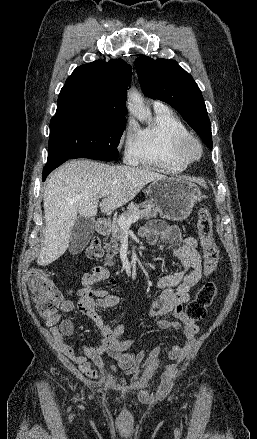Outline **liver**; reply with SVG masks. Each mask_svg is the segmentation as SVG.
Listing matches in <instances>:
<instances>
[{"label":"liver","instance_id":"1","mask_svg":"<svg viewBox=\"0 0 257 439\" xmlns=\"http://www.w3.org/2000/svg\"><path fill=\"white\" fill-rule=\"evenodd\" d=\"M164 177L149 168L86 159L60 166L50 176L43 196L46 227L38 265L47 266L65 253L77 215L94 217L102 191L109 192L101 203L105 213L128 203L146 184Z\"/></svg>","mask_w":257,"mask_h":439}]
</instances>
